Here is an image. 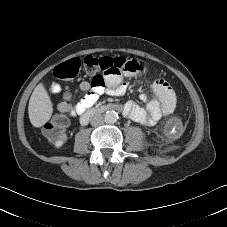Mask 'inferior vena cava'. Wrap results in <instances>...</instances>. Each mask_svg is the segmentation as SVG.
Instances as JSON below:
<instances>
[{"label":"inferior vena cava","mask_w":227,"mask_h":227,"mask_svg":"<svg viewBox=\"0 0 227 227\" xmlns=\"http://www.w3.org/2000/svg\"><path fill=\"white\" fill-rule=\"evenodd\" d=\"M90 123L92 126H100L104 123V117L101 114H95L91 117Z\"/></svg>","instance_id":"obj_1"}]
</instances>
